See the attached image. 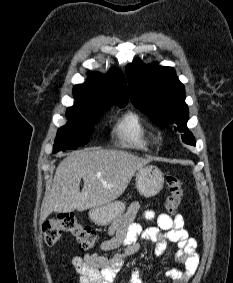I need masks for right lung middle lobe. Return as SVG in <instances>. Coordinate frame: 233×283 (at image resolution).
Here are the masks:
<instances>
[{
  "label": "right lung middle lobe",
  "instance_id": "right-lung-middle-lobe-1",
  "mask_svg": "<svg viewBox=\"0 0 233 283\" xmlns=\"http://www.w3.org/2000/svg\"><path fill=\"white\" fill-rule=\"evenodd\" d=\"M126 104L118 105L123 107ZM110 106H86L76 103L67 109L69 122L58 129L53 151L77 149L85 145L93 132V127L99 115Z\"/></svg>",
  "mask_w": 233,
  "mask_h": 283
}]
</instances>
